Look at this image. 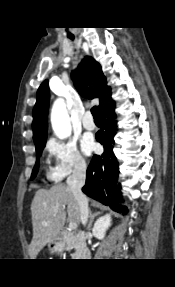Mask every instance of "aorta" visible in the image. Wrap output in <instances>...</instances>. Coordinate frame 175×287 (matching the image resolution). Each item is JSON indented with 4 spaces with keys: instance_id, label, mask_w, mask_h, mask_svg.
<instances>
[{
    "instance_id": "obj_1",
    "label": "aorta",
    "mask_w": 175,
    "mask_h": 287,
    "mask_svg": "<svg viewBox=\"0 0 175 287\" xmlns=\"http://www.w3.org/2000/svg\"><path fill=\"white\" fill-rule=\"evenodd\" d=\"M51 124L55 135L65 139L71 135L72 127L65 101L61 98L55 100L51 111Z\"/></svg>"
}]
</instances>
